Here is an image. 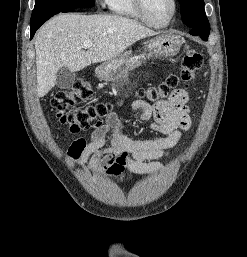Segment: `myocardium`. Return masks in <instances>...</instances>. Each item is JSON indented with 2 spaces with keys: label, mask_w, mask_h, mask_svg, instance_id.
<instances>
[{
  "label": "myocardium",
  "mask_w": 247,
  "mask_h": 257,
  "mask_svg": "<svg viewBox=\"0 0 247 257\" xmlns=\"http://www.w3.org/2000/svg\"><path fill=\"white\" fill-rule=\"evenodd\" d=\"M135 2V6L139 12V14L141 15L143 21L148 24L149 26L155 27V28H164L166 26H168L173 19L176 16L177 10H178V2L177 0H172L173 3V11L171 16L169 17V19L163 23H157L155 21H153L150 16L148 15L147 9H146V2L145 0H134Z\"/></svg>",
  "instance_id": "myocardium-1"
}]
</instances>
